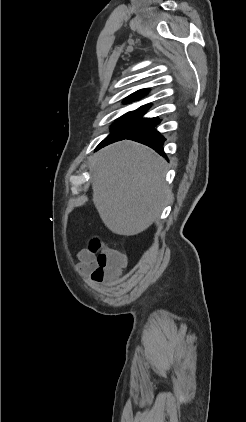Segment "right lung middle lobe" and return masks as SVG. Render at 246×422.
<instances>
[{
	"label": "right lung middle lobe",
	"instance_id": "right-lung-middle-lobe-1",
	"mask_svg": "<svg viewBox=\"0 0 246 422\" xmlns=\"http://www.w3.org/2000/svg\"><path fill=\"white\" fill-rule=\"evenodd\" d=\"M147 109L131 111L117 119L111 126V133L99 144L97 148L104 147L113 142L123 140L138 131L152 125L159 120V117L143 118Z\"/></svg>",
	"mask_w": 246,
	"mask_h": 422
}]
</instances>
